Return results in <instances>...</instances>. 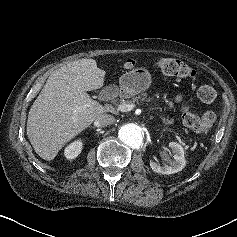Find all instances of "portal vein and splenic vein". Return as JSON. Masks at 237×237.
I'll return each mask as SVG.
<instances>
[{"label": "portal vein and splenic vein", "instance_id": "portal-vein-and-splenic-vein-1", "mask_svg": "<svg viewBox=\"0 0 237 237\" xmlns=\"http://www.w3.org/2000/svg\"><path fill=\"white\" fill-rule=\"evenodd\" d=\"M135 107L134 104H120L118 110L121 112H129Z\"/></svg>", "mask_w": 237, "mask_h": 237}]
</instances>
